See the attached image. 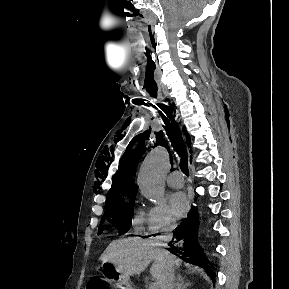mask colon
I'll use <instances>...</instances> for the list:
<instances>
[{"label": "colon", "instance_id": "5ec220e1", "mask_svg": "<svg viewBox=\"0 0 289 289\" xmlns=\"http://www.w3.org/2000/svg\"><path fill=\"white\" fill-rule=\"evenodd\" d=\"M87 289H109V287L101 278H92L87 284Z\"/></svg>", "mask_w": 289, "mask_h": 289}]
</instances>
